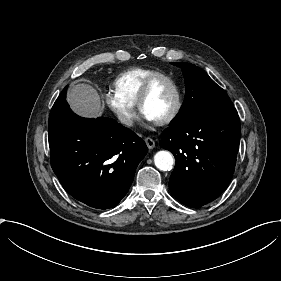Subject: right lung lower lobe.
I'll list each match as a JSON object with an SVG mask.
<instances>
[{"label":"right lung lower lobe","mask_w":281,"mask_h":281,"mask_svg":"<svg viewBox=\"0 0 281 281\" xmlns=\"http://www.w3.org/2000/svg\"><path fill=\"white\" fill-rule=\"evenodd\" d=\"M66 92L67 87L49 116L52 169L75 199L96 209L115 207L128 192L147 146L113 119L74 114Z\"/></svg>","instance_id":"obj_1"}]
</instances>
